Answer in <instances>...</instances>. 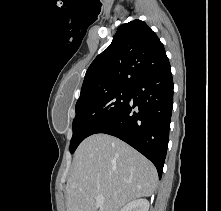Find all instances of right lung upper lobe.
<instances>
[{"instance_id":"right-lung-upper-lobe-1","label":"right lung upper lobe","mask_w":221,"mask_h":211,"mask_svg":"<svg viewBox=\"0 0 221 211\" xmlns=\"http://www.w3.org/2000/svg\"><path fill=\"white\" fill-rule=\"evenodd\" d=\"M170 67L164 46L144 21L121 25L110 46L89 66L79 99L111 90L130 88L135 82Z\"/></svg>"}]
</instances>
